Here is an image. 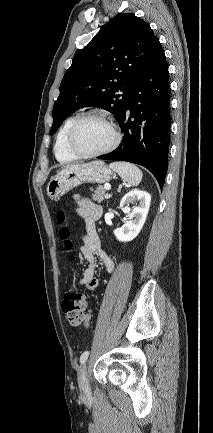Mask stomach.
<instances>
[{
	"label": "stomach",
	"mask_w": 213,
	"mask_h": 433,
	"mask_svg": "<svg viewBox=\"0 0 213 433\" xmlns=\"http://www.w3.org/2000/svg\"><path fill=\"white\" fill-rule=\"evenodd\" d=\"M113 172L102 161H92L63 169L47 185V195L57 199L83 183H105L112 179Z\"/></svg>",
	"instance_id": "obj_1"
}]
</instances>
